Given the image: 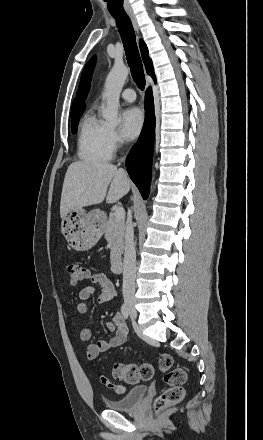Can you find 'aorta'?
Segmentation results:
<instances>
[{"label":"aorta","mask_w":263,"mask_h":440,"mask_svg":"<svg viewBox=\"0 0 263 440\" xmlns=\"http://www.w3.org/2000/svg\"><path fill=\"white\" fill-rule=\"evenodd\" d=\"M129 69L124 64H115L109 72L104 86L102 98L106 106L102 111L103 118L110 125H117L119 122L118 108L120 93L128 77Z\"/></svg>","instance_id":"aorta-1"}]
</instances>
